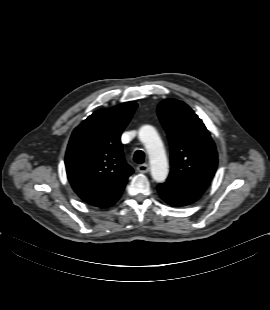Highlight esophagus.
<instances>
[{"label": "esophagus", "instance_id": "1", "mask_svg": "<svg viewBox=\"0 0 270 310\" xmlns=\"http://www.w3.org/2000/svg\"><path fill=\"white\" fill-rule=\"evenodd\" d=\"M149 165L148 164H141L137 166V171L140 173H147L149 171Z\"/></svg>", "mask_w": 270, "mask_h": 310}]
</instances>
